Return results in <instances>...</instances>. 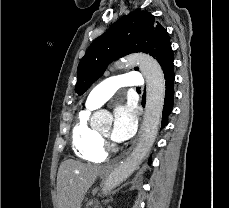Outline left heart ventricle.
Wrapping results in <instances>:
<instances>
[{
    "label": "left heart ventricle",
    "mask_w": 229,
    "mask_h": 208,
    "mask_svg": "<svg viewBox=\"0 0 229 208\" xmlns=\"http://www.w3.org/2000/svg\"><path fill=\"white\" fill-rule=\"evenodd\" d=\"M110 127H107L105 130H103L101 133L106 135V136H109L110 135Z\"/></svg>",
    "instance_id": "1"
}]
</instances>
